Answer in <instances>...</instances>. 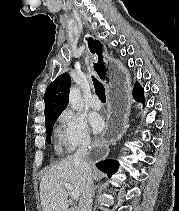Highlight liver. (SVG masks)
<instances>
[{
    "label": "liver",
    "instance_id": "liver-1",
    "mask_svg": "<svg viewBox=\"0 0 179 211\" xmlns=\"http://www.w3.org/2000/svg\"><path fill=\"white\" fill-rule=\"evenodd\" d=\"M65 184H70L82 197L85 189L83 171L74 156H67L49 168L40 182V199L43 211H69L68 193Z\"/></svg>",
    "mask_w": 179,
    "mask_h": 211
}]
</instances>
